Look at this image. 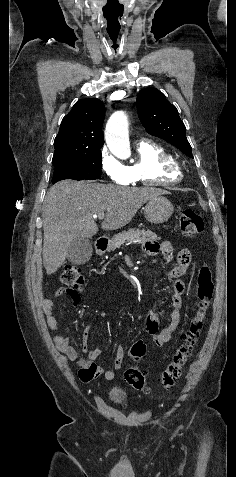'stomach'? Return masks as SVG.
I'll use <instances>...</instances> for the list:
<instances>
[{
	"instance_id": "0dacf381",
	"label": "stomach",
	"mask_w": 236,
	"mask_h": 477,
	"mask_svg": "<svg viewBox=\"0 0 236 477\" xmlns=\"http://www.w3.org/2000/svg\"><path fill=\"white\" fill-rule=\"evenodd\" d=\"M143 210L146 220L153 224H160L171 217L174 208L167 198L158 196L147 201Z\"/></svg>"
}]
</instances>
